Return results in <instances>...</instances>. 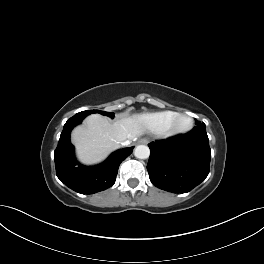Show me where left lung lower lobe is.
Segmentation results:
<instances>
[{
  "label": "left lung lower lobe",
  "mask_w": 264,
  "mask_h": 264,
  "mask_svg": "<svg viewBox=\"0 0 264 264\" xmlns=\"http://www.w3.org/2000/svg\"><path fill=\"white\" fill-rule=\"evenodd\" d=\"M147 164L150 181L173 193H186L209 174L211 150L205 125L185 135L151 142Z\"/></svg>",
  "instance_id": "1"
}]
</instances>
